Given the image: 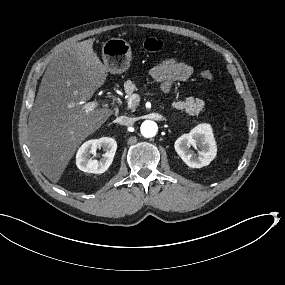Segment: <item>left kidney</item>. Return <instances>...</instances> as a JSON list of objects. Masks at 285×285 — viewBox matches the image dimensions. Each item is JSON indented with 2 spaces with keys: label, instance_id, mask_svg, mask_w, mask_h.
Instances as JSON below:
<instances>
[{
  "label": "left kidney",
  "instance_id": "left-kidney-1",
  "mask_svg": "<svg viewBox=\"0 0 285 285\" xmlns=\"http://www.w3.org/2000/svg\"><path fill=\"white\" fill-rule=\"evenodd\" d=\"M194 147L197 156L190 150ZM175 150L181 159L192 168H201L210 164L216 155L211 128L207 124L195 127L189 134H184L175 142Z\"/></svg>",
  "mask_w": 285,
  "mask_h": 285
}]
</instances>
